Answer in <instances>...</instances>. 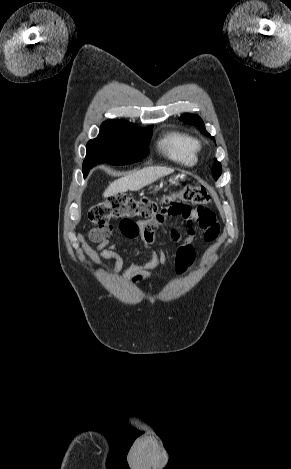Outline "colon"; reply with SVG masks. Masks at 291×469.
<instances>
[{
	"mask_svg": "<svg viewBox=\"0 0 291 469\" xmlns=\"http://www.w3.org/2000/svg\"><path fill=\"white\" fill-rule=\"evenodd\" d=\"M210 201V195L203 186H185L176 192L164 195L160 200L150 197L133 198L117 194L92 206L88 212V220L97 226L98 231L106 234L111 228V220L127 221L135 217L152 219L186 213L190 207L183 202L197 205L198 210L204 215L210 211L205 207ZM162 204H165L166 207L160 209Z\"/></svg>",
	"mask_w": 291,
	"mask_h": 469,
	"instance_id": "colon-1",
	"label": "colon"
}]
</instances>
